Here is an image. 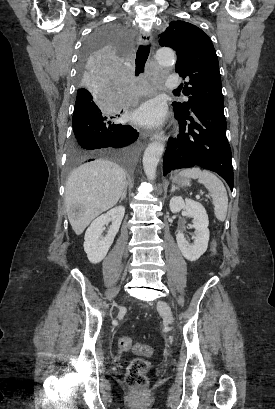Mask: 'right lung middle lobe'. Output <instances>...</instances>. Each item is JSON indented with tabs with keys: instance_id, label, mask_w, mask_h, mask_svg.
<instances>
[{
	"instance_id": "right-lung-middle-lobe-1",
	"label": "right lung middle lobe",
	"mask_w": 275,
	"mask_h": 409,
	"mask_svg": "<svg viewBox=\"0 0 275 409\" xmlns=\"http://www.w3.org/2000/svg\"><path fill=\"white\" fill-rule=\"evenodd\" d=\"M129 31L119 24H99L84 43L75 78L79 89L73 113V135L68 164L63 177L69 178L82 164L113 160L115 166L138 172L136 158L142 142L127 122L128 96H112L111 91H127L122 82L124 59L117 51H133Z\"/></svg>"
}]
</instances>
